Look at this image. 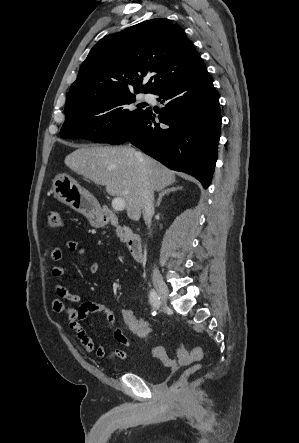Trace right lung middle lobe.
Returning a JSON list of instances; mask_svg holds the SVG:
<instances>
[{"label": "right lung middle lobe", "instance_id": "dd1d6c3e", "mask_svg": "<svg viewBox=\"0 0 299 443\" xmlns=\"http://www.w3.org/2000/svg\"><path fill=\"white\" fill-rule=\"evenodd\" d=\"M101 96L65 106V122L60 135L67 139H88L107 143L149 108L134 107L135 94Z\"/></svg>", "mask_w": 299, "mask_h": 443}]
</instances>
